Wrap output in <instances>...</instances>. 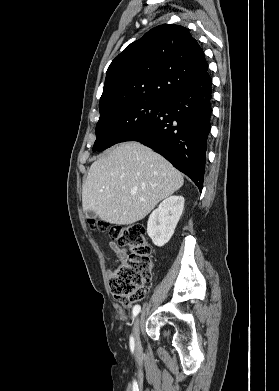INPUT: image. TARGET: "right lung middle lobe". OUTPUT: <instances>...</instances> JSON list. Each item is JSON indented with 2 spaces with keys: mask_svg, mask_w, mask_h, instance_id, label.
<instances>
[{
  "mask_svg": "<svg viewBox=\"0 0 279 391\" xmlns=\"http://www.w3.org/2000/svg\"><path fill=\"white\" fill-rule=\"evenodd\" d=\"M164 102L135 101L100 113L93 151H102L119 143L133 129L152 121Z\"/></svg>",
  "mask_w": 279,
  "mask_h": 391,
  "instance_id": "right-lung-middle-lobe-1",
  "label": "right lung middle lobe"
}]
</instances>
